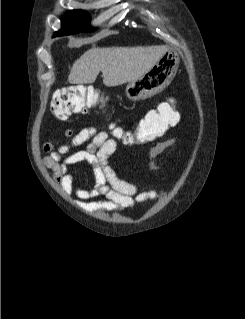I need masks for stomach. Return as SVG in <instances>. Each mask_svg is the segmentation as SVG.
<instances>
[{"instance_id":"obj_1","label":"stomach","mask_w":245,"mask_h":319,"mask_svg":"<svg viewBox=\"0 0 245 319\" xmlns=\"http://www.w3.org/2000/svg\"><path fill=\"white\" fill-rule=\"evenodd\" d=\"M178 64V59L166 52L146 73L128 82L125 95L131 101H139L160 93L173 80Z\"/></svg>"}]
</instances>
